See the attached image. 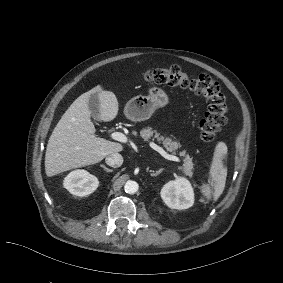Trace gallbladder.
I'll use <instances>...</instances> for the list:
<instances>
[{
  "mask_svg": "<svg viewBox=\"0 0 283 283\" xmlns=\"http://www.w3.org/2000/svg\"><path fill=\"white\" fill-rule=\"evenodd\" d=\"M87 107L90 113V117L95 123H101V101L97 94H91L88 97Z\"/></svg>",
  "mask_w": 283,
  "mask_h": 283,
  "instance_id": "gallbladder-1",
  "label": "gallbladder"
}]
</instances>
